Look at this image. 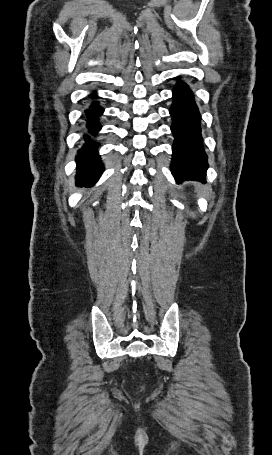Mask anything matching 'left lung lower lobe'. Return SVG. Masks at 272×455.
I'll use <instances>...</instances> for the list:
<instances>
[{
  "label": "left lung lower lobe",
  "instance_id": "obj_1",
  "mask_svg": "<svg viewBox=\"0 0 272 455\" xmlns=\"http://www.w3.org/2000/svg\"><path fill=\"white\" fill-rule=\"evenodd\" d=\"M173 104L169 110L174 135L171 172L177 182L199 180L205 182L208 168L203 150L200 114L189 87L178 82L173 90Z\"/></svg>",
  "mask_w": 272,
  "mask_h": 455
}]
</instances>
